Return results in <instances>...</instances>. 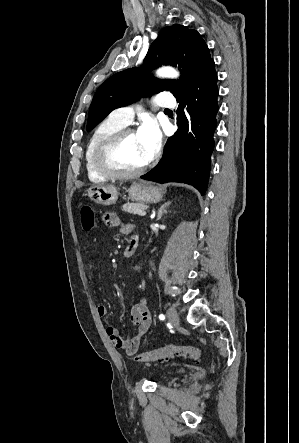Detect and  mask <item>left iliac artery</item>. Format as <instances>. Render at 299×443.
<instances>
[{
  "instance_id": "obj_1",
  "label": "left iliac artery",
  "mask_w": 299,
  "mask_h": 443,
  "mask_svg": "<svg viewBox=\"0 0 299 443\" xmlns=\"http://www.w3.org/2000/svg\"><path fill=\"white\" fill-rule=\"evenodd\" d=\"M159 319H160V320H165V316H164L163 314H160V315H159Z\"/></svg>"
}]
</instances>
